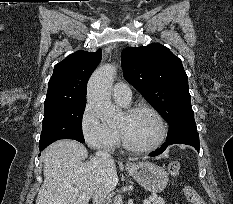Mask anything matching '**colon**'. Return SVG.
Segmentation results:
<instances>
[{
	"mask_svg": "<svg viewBox=\"0 0 233 204\" xmlns=\"http://www.w3.org/2000/svg\"><path fill=\"white\" fill-rule=\"evenodd\" d=\"M168 170L172 176H179L181 172V164L178 161H172L169 166ZM184 195L186 199L191 204H205L203 198L200 196V194L191 186L186 185L183 189Z\"/></svg>",
	"mask_w": 233,
	"mask_h": 204,
	"instance_id": "5ec220e1",
	"label": "colon"
}]
</instances>
